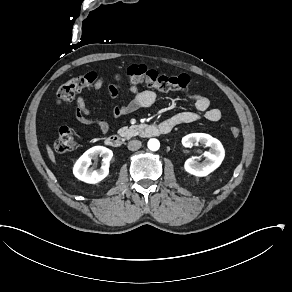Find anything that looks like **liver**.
I'll return each instance as SVG.
<instances>
[{
  "mask_svg": "<svg viewBox=\"0 0 292 292\" xmlns=\"http://www.w3.org/2000/svg\"><path fill=\"white\" fill-rule=\"evenodd\" d=\"M45 147H46V152H47L49 160L51 161V163L53 165H56L57 162H56V157H55L54 151L52 150V148L50 147V145L48 143H46Z\"/></svg>",
  "mask_w": 292,
  "mask_h": 292,
  "instance_id": "obj_1",
  "label": "liver"
}]
</instances>
